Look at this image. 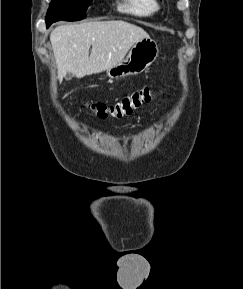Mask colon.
Wrapping results in <instances>:
<instances>
[{
    "mask_svg": "<svg viewBox=\"0 0 243 289\" xmlns=\"http://www.w3.org/2000/svg\"><path fill=\"white\" fill-rule=\"evenodd\" d=\"M154 97L155 93L152 89L145 87L122 97L113 104L87 102L86 106L99 118L104 119L109 116L122 118L131 115L134 110L138 109L142 104L150 102Z\"/></svg>",
    "mask_w": 243,
    "mask_h": 289,
    "instance_id": "5ec220e1",
    "label": "colon"
}]
</instances>
